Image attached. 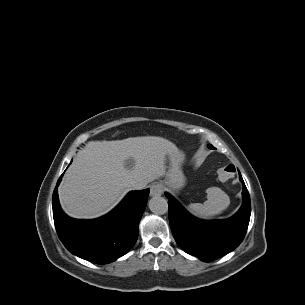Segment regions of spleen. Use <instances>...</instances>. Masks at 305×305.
Listing matches in <instances>:
<instances>
[{
	"label": "spleen",
	"instance_id": "obj_1",
	"mask_svg": "<svg viewBox=\"0 0 305 305\" xmlns=\"http://www.w3.org/2000/svg\"><path fill=\"white\" fill-rule=\"evenodd\" d=\"M229 205L228 196L218 187L207 189V200L201 203H191L188 211L196 217L207 219L220 214Z\"/></svg>",
	"mask_w": 305,
	"mask_h": 305
}]
</instances>
